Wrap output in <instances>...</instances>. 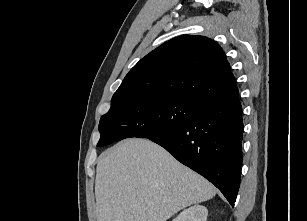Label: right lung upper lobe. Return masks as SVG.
I'll return each instance as SVG.
<instances>
[{"instance_id":"right-lung-upper-lobe-1","label":"right lung upper lobe","mask_w":307,"mask_h":221,"mask_svg":"<svg viewBox=\"0 0 307 221\" xmlns=\"http://www.w3.org/2000/svg\"><path fill=\"white\" fill-rule=\"evenodd\" d=\"M238 94L222 48L207 37L181 35L142 58L126 75L111 103L158 96L205 106Z\"/></svg>"}]
</instances>
